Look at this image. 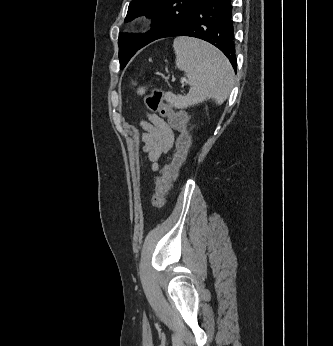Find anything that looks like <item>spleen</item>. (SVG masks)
Instances as JSON below:
<instances>
[{
    "mask_svg": "<svg viewBox=\"0 0 333 346\" xmlns=\"http://www.w3.org/2000/svg\"><path fill=\"white\" fill-rule=\"evenodd\" d=\"M176 66L187 73L190 84L186 96L167 93L175 108H187L215 99L222 103L234 86V72L228 59L213 45L194 38L178 37L173 42Z\"/></svg>",
    "mask_w": 333,
    "mask_h": 346,
    "instance_id": "obj_1",
    "label": "spleen"
}]
</instances>
